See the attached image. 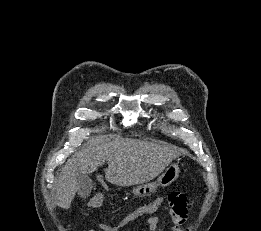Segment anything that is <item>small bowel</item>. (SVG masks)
I'll return each mask as SVG.
<instances>
[{"label": "small bowel", "mask_w": 261, "mask_h": 231, "mask_svg": "<svg viewBox=\"0 0 261 231\" xmlns=\"http://www.w3.org/2000/svg\"><path fill=\"white\" fill-rule=\"evenodd\" d=\"M101 203V198L97 196L90 197L86 202V207L88 210H96ZM146 205L139 206L137 210L132 212L130 215L123 218L117 225H106L99 224L98 227L102 231H119L121 227L126 225L131 219L146 215V224L149 231H158L159 229V218L155 214V210L149 213H145ZM172 221H173V229L174 231H192V226L188 225L185 230H182L181 226L184 224V220L179 218L176 215H173L170 211H168ZM88 231H96L95 229H89Z\"/></svg>", "instance_id": "obj_1"}]
</instances>
